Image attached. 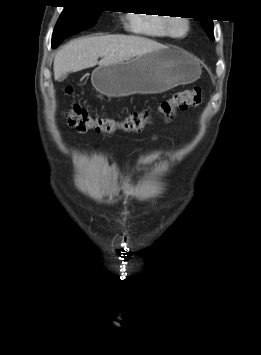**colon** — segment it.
I'll return each mask as SVG.
<instances>
[{
	"label": "colon",
	"mask_w": 261,
	"mask_h": 355,
	"mask_svg": "<svg viewBox=\"0 0 261 355\" xmlns=\"http://www.w3.org/2000/svg\"><path fill=\"white\" fill-rule=\"evenodd\" d=\"M70 92V88L67 89ZM201 102V90L196 87L174 93L170 98L161 101L157 111L166 120H170L178 110L196 107ZM66 117L69 126L79 132L95 131L96 133L113 134L117 131L138 132L151 122L152 113L150 108L136 110L129 113L122 120L105 117H94L78 103H72Z\"/></svg>",
	"instance_id": "1"
}]
</instances>
